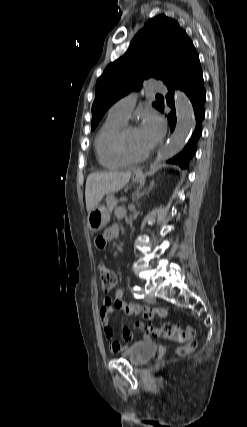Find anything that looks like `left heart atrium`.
<instances>
[{
    "label": "left heart atrium",
    "instance_id": "39dd6f15",
    "mask_svg": "<svg viewBox=\"0 0 247 427\" xmlns=\"http://www.w3.org/2000/svg\"><path fill=\"white\" fill-rule=\"evenodd\" d=\"M138 131L146 145L151 148L163 137L165 123L158 115L148 112L143 116Z\"/></svg>",
    "mask_w": 247,
    "mask_h": 427
}]
</instances>
